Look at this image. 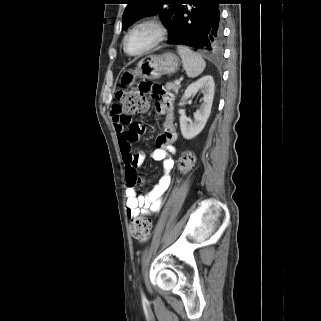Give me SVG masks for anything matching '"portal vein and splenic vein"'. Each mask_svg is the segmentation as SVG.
I'll list each match as a JSON object with an SVG mask.
<instances>
[{
  "label": "portal vein and splenic vein",
  "instance_id": "1",
  "mask_svg": "<svg viewBox=\"0 0 321 321\" xmlns=\"http://www.w3.org/2000/svg\"><path fill=\"white\" fill-rule=\"evenodd\" d=\"M180 82H181L180 80H176V81H175V83H177V84H180Z\"/></svg>",
  "mask_w": 321,
  "mask_h": 321
}]
</instances>
